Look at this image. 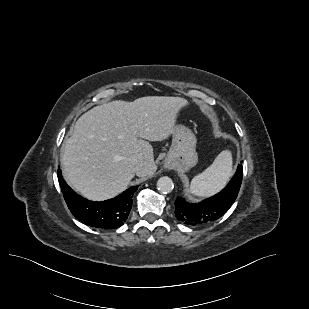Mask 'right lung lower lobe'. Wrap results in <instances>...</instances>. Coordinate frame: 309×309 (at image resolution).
Wrapping results in <instances>:
<instances>
[{
  "label": "right lung lower lobe",
  "mask_w": 309,
  "mask_h": 309,
  "mask_svg": "<svg viewBox=\"0 0 309 309\" xmlns=\"http://www.w3.org/2000/svg\"><path fill=\"white\" fill-rule=\"evenodd\" d=\"M57 173L67 206L80 222L95 228L116 229L126 221L138 186L130 187L114 199L93 202L76 194L62 178L59 168Z\"/></svg>",
  "instance_id": "obj_1"
}]
</instances>
